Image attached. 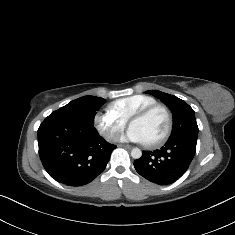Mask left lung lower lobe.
Instances as JSON below:
<instances>
[{"mask_svg": "<svg viewBox=\"0 0 235 235\" xmlns=\"http://www.w3.org/2000/svg\"><path fill=\"white\" fill-rule=\"evenodd\" d=\"M197 140L188 137L169 139L164 147L143 151L134 161L136 171L150 182L166 185L181 177L188 169L196 152Z\"/></svg>", "mask_w": 235, "mask_h": 235, "instance_id": "left-lung-lower-lobe-1", "label": "left lung lower lobe"}]
</instances>
